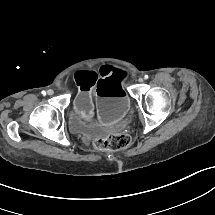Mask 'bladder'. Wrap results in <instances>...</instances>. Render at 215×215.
<instances>
[{"label": "bladder", "instance_id": "bladder-1", "mask_svg": "<svg viewBox=\"0 0 215 215\" xmlns=\"http://www.w3.org/2000/svg\"><path fill=\"white\" fill-rule=\"evenodd\" d=\"M69 127L71 131L77 134H104L108 132L110 129L102 127V126H96V125H87L83 122L76 121L74 119L69 120Z\"/></svg>", "mask_w": 215, "mask_h": 215}]
</instances>
